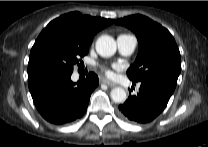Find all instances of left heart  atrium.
Returning a JSON list of instances; mask_svg holds the SVG:
<instances>
[{
  "label": "left heart atrium",
  "mask_w": 208,
  "mask_h": 147,
  "mask_svg": "<svg viewBox=\"0 0 208 147\" xmlns=\"http://www.w3.org/2000/svg\"><path fill=\"white\" fill-rule=\"evenodd\" d=\"M113 68H118L117 65H114ZM105 72L107 75L111 76L113 74L112 70L111 69H105Z\"/></svg>",
  "instance_id": "left-heart-atrium-1"
}]
</instances>
